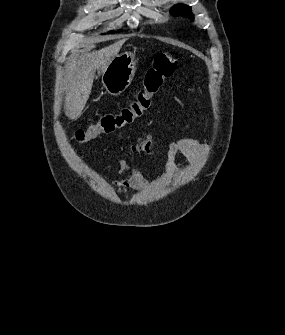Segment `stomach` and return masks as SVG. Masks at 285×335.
<instances>
[{"instance_id": "obj_1", "label": "stomach", "mask_w": 285, "mask_h": 335, "mask_svg": "<svg viewBox=\"0 0 285 335\" xmlns=\"http://www.w3.org/2000/svg\"><path fill=\"white\" fill-rule=\"evenodd\" d=\"M135 56L131 52L118 54L102 74V84L111 96H119L130 86L136 72Z\"/></svg>"}]
</instances>
